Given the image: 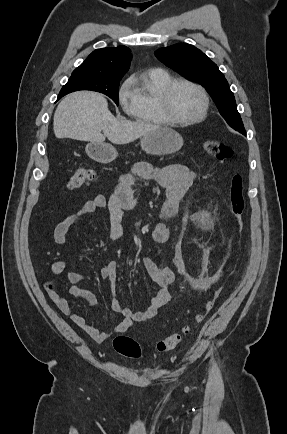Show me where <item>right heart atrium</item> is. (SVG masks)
I'll return each instance as SVG.
<instances>
[{"label": "right heart atrium", "instance_id": "right-heart-atrium-1", "mask_svg": "<svg viewBox=\"0 0 287 434\" xmlns=\"http://www.w3.org/2000/svg\"><path fill=\"white\" fill-rule=\"evenodd\" d=\"M118 100L126 113H131L137 106L138 96L135 90L134 77L127 78L118 91Z\"/></svg>", "mask_w": 287, "mask_h": 434}]
</instances>
